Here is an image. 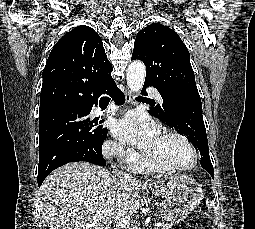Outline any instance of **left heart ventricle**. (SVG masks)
I'll return each instance as SVG.
<instances>
[{"instance_id": "1", "label": "left heart ventricle", "mask_w": 255, "mask_h": 229, "mask_svg": "<svg viewBox=\"0 0 255 229\" xmlns=\"http://www.w3.org/2000/svg\"><path fill=\"white\" fill-rule=\"evenodd\" d=\"M145 155L168 166H183L192 159L190 149L182 141L162 135L151 149L145 151Z\"/></svg>"}]
</instances>
